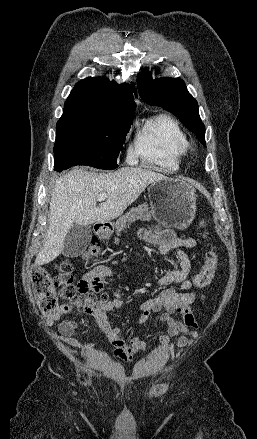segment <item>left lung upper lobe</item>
<instances>
[{"mask_svg":"<svg viewBox=\"0 0 257 439\" xmlns=\"http://www.w3.org/2000/svg\"><path fill=\"white\" fill-rule=\"evenodd\" d=\"M137 86L143 101L173 113L206 145L205 127L199 116L197 101L187 91L183 80L166 77L153 80L151 73L144 70L138 74Z\"/></svg>","mask_w":257,"mask_h":439,"instance_id":"left-lung-upper-lobe-1","label":"left lung upper lobe"}]
</instances>
